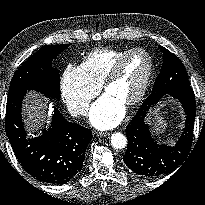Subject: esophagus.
Wrapping results in <instances>:
<instances>
[{
  "label": "esophagus",
  "mask_w": 205,
  "mask_h": 205,
  "mask_svg": "<svg viewBox=\"0 0 205 205\" xmlns=\"http://www.w3.org/2000/svg\"><path fill=\"white\" fill-rule=\"evenodd\" d=\"M98 135H99L100 137H107V136L110 135V133H109V132H99Z\"/></svg>",
  "instance_id": "1"
}]
</instances>
